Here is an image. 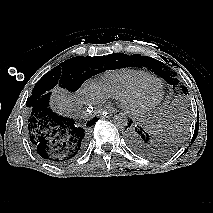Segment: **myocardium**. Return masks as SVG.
Here are the masks:
<instances>
[{
    "instance_id": "1",
    "label": "myocardium",
    "mask_w": 213,
    "mask_h": 213,
    "mask_svg": "<svg viewBox=\"0 0 213 213\" xmlns=\"http://www.w3.org/2000/svg\"><path fill=\"white\" fill-rule=\"evenodd\" d=\"M152 82L158 83L160 87V93L157 98L152 101L144 102L141 99V93L143 89ZM164 84L163 81L155 76H151L144 79L128 90L124 95L120 97V107L129 114L140 115L145 114L154 108H156L164 97Z\"/></svg>"
}]
</instances>
